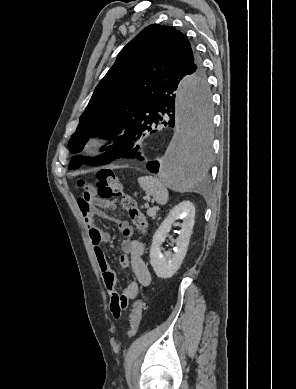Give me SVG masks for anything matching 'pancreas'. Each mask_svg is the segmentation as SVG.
<instances>
[{
    "instance_id": "1",
    "label": "pancreas",
    "mask_w": 296,
    "mask_h": 389,
    "mask_svg": "<svg viewBox=\"0 0 296 389\" xmlns=\"http://www.w3.org/2000/svg\"><path fill=\"white\" fill-rule=\"evenodd\" d=\"M151 210L155 211L156 212V208H152ZM155 216V215H154Z\"/></svg>"
}]
</instances>
